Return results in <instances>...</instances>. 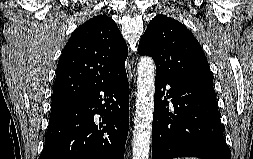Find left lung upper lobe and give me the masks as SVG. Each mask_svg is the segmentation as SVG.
I'll return each mask as SVG.
<instances>
[{
    "label": "left lung upper lobe",
    "instance_id": "left-lung-upper-lobe-1",
    "mask_svg": "<svg viewBox=\"0 0 253 159\" xmlns=\"http://www.w3.org/2000/svg\"><path fill=\"white\" fill-rule=\"evenodd\" d=\"M139 54L149 55L158 75L213 85L207 58L193 34L180 22L158 15L139 42Z\"/></svg>",
    "mask_w": 253,
    "mask_h": 159
}]
</instances>
